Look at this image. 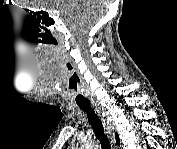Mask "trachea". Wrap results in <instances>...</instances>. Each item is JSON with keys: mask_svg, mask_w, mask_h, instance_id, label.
I'll use <instances>...</instances> for the list:
<instances>
[{"mask_svg": "<svg viewBox=\"0 0 177 149\" xmlns=\"http://www.w3.org/2000/svg\"><path fill=\"white\" fill-rule=\"evenodd\" d=\"M82 97L81 94L76 95V103L77 105L86 113L89 123L91 124L95 136L99 140L102 149H111L110 142L107 136L104 134L102 122L99 119L98 115L95 113L89 102L80 103L78 102V98Z\"/></svg>", "mask_w": 177, "mask_h": 149, "instance_id": "trachea-1", "label": "trachea"}]
</instances>
